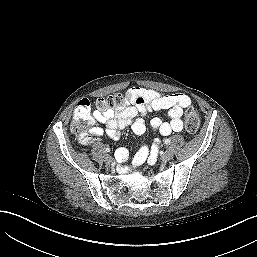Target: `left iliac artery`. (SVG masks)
I'll return each mask as SVG.
<instances>
[{
    "mask_svg": "<svg viewBox=\"0 0 257 257\" xmlns=\"http://www.w3.org/2000/svg\"><path fill=\"white\" fill-rule=\"evenodd\" d=\"M170 141H171L170 139H165V140H164V144H166V145H167V144H169V143H170Z\"/></svg>",
    "mask_w": 257,
    "mask_h": 257,
    "instance_id": "left-iliac-artery-1",
    "label": "left iliac artery"
}]
</instances>
